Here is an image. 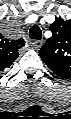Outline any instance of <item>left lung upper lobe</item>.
Segmentation results:
<instances>
[{
  "mask_svg": "<svg viewBox=\"0 0 71 119\" xmlns=\"http://www.w3.org/2000/svg\"><path fill=\"white\" fill-rule=\"evenodd\" d=\"M53 35L39 55L47 66L62 78L71 77V20L58 18L50 26Z\"/></svg>",
  "mask_w": 71,
  "mask_h": 119,
  "instance_id": "left-lung-upper-lobe-1",
  "label": "left lung upper lobe"
}]
</instances>
